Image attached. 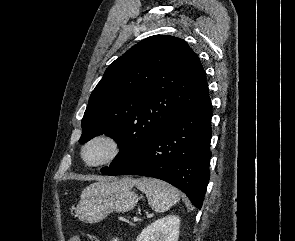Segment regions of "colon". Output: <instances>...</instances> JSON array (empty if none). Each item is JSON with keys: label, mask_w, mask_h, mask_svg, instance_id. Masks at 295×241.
<instances>
[{"label": "colon", "mask_w": 295, "mask_h": 241, "mask_svg": "<svg viewBox=\"0 0 295 241\" xmlns=\"http://www.w3.org/2000/svg\"><path fill=\"white\" fill-rule=\"evenodd\" d=\"M70 241H81V240H80L79 237H76V236H75V237H72V238L70 239Z\"/></svg>", "instance_id": "obj_1"}]
</instances>
